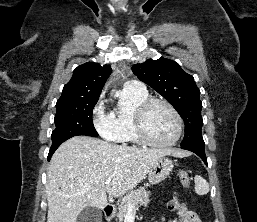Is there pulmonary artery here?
<instances>
[{"label":"pulmonary artery","mask_w":257,"mask_h":222,"mask_svg":"<svg viewBox=\"0 0 257 222\" xmlns=\"http://www.w3.org/2000/svg\"><path fill=\"white\" fill-rule=\"evenodd\" d=\"M125 87L132 90L146 91V87L143 82L139 80H130L125 83Z\"/></svg>","instance_id":"obj_1"}]
</instances>
